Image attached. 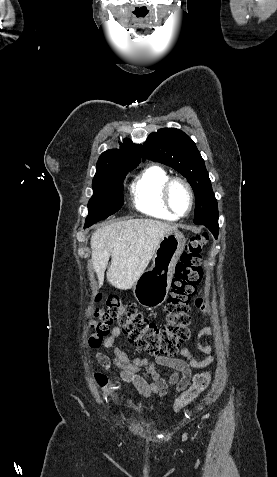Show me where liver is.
<instances>
[{"label": "liver", "instance_id": "1", "mask_svg": "<svg viewBox=\"0 0 277 477\" xmlns=\"http://www.w3.org/2000/svg\"><path fill=\"white\" fill-rule=\"evenodd\" d=\"M176 227L153 219H130L98 228L91 237L92 264L99 287L107 280L121 290L130 289L145 271L161 239Z\"/></svg>", "mask_w": 277, "mask_h": 477}]
</instances>
